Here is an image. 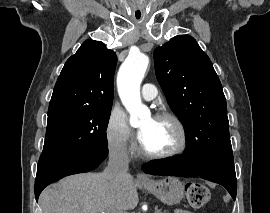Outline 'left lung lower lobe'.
Masks as SVG:
<instances>
[{
  "label": "left lung lower lobe",
  "mask_w": 270,
  "mask_h": 213,
  "mask_svg": "<svg viewBox=\"0 0 270 213\" xmlns=\"http://www.w3.org/2000/svg\"><path fill=\"white\" fill-rule=\"evenodd\" d=\"M187 149L181 156L163 160L150 161L144 165L143 171L153 175L196 177L221 184L236 198L237 181L233 158L217 161H204L196 154L187 142Z\"/></svg>",
  "instance_id": "0a47b994"
}]
</instances>
